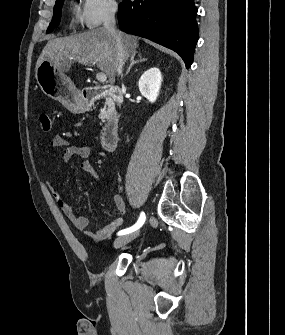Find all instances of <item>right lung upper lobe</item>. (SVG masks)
<instances>
[{
  "mask_svg": "<svg viewBox=\"0 0 285 335\" xmlns=\"http://www.w3.org/2000/svg\"><path fill=\"white\" fill-rule=\"evenodd\" d=\"M63 0H56V4H59V3H61ZM55 4V5H56Z\"/></svg>",
  "mask_w": 285,
  "mask_h": 335,
  "instance_id": "1",
  "label": "right lung upper lobe"
}]
</instances>
